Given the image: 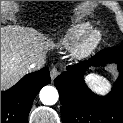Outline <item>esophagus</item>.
<instances>
[{"mask_svg": "<svg viewBox=\"0 0 123 123\" xmlns=\"http://www.w3.org/2000/svg\"><path fill=\"white\" fill-rule=\"evenodd\" d=\"M59 74V71L57 69V67H52L51 70H50V77L52 80H54Z\"/></svg>", "mask_w": 123, "mask_h": 123, "instance_id": "1", "label": "esophagus"}]
</instances>
